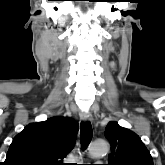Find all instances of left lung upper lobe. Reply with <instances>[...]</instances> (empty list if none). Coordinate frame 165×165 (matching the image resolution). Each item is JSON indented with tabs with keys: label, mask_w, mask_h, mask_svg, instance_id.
<instances>
[{
	"label": "left lung upper lobe",
	"mask_w": 165,
	"mask_h": 165,
	"mask_svg": "<svg viewBox=\"0 0 165 165\" xmlns=\"http://www.w3.org/2000/svg\"><path fill=\"white\" fill-rule=\"evenodd\" d=\"M105 137L111 145L108 165H153L144 143L129 129L111 121L106 127Z\"/></svg>",
	"instance_id": "obj_1"
}]
</instances>
